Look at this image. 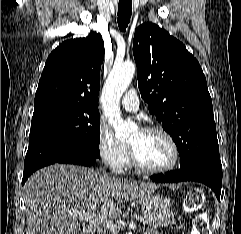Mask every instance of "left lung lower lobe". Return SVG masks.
<instances>
[{
  "instance_id": "obj_1",
  "label": "left lung lower lobe",
  "mask_w": 241,
  "mask_h": 234,
  "mask_svg": "<svg viewBox=\"0 0 241 234\" xmlns=\"http://www.w3.org/2000/svg\"><path fill=\"white\" fill-rule=\"evenodd\" d=\"M155 182L176 183L180 181H197L209 186L218 200H220L222 185V165H215L210 162H198L191 166L170 171L165 174L151 176Z\"/></svg>"
}]
</instances>
